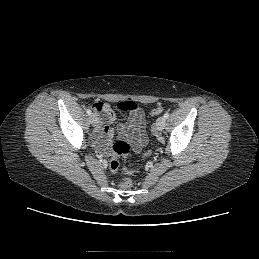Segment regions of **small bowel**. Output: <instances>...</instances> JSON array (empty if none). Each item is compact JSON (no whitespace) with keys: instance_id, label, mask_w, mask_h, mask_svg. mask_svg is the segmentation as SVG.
I'll return each mask as SVG.
<instances>
[{"instance_id":"1","label":"small bowel","mask_w":259,"mask_h":259,"mask_svg":"<svg viewBox=\"0 0 259 259\" xmlns=\"http://www.w3.org/2000/svg\"><path fill=\"white\" fill-rule=\"evenodd\" d=\"M96 104L100 105V108L93 107L98 113L99 124L94 133L93 142L99 150L105 151L114 136V131L110 125L115 122L116 117L108 104ZM118 135L130 143L133 151H140L147 142L144 111L139 108L129 111L128 119L118 126Z\"/></svg>"}]
</instances>
